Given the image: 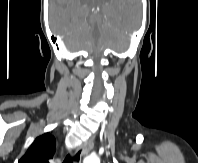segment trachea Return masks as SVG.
<instances>
[{
	"instance_id": "obj_1",
	"label": "trachea",
	"mask_w": 198,
	"mask_h": 163,
	"mask_svg": "<svg viewBox=\"0 0 198 163\" xmlns=\"http://www.w3.org/2000/svg\"><path fill=\"white\" fill-rule=\"evenodd\" d=\"M79 157H80V151L77 152L73 157H71L70 155H68L63 163H73V161H79Z\"/></svg>"
}]
</instances>
